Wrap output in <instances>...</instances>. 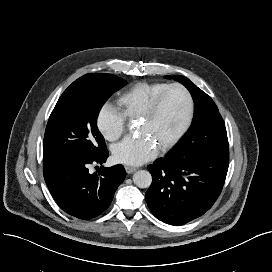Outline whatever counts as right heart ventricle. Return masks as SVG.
I'll return each mask as SVG.
<instances>
[{"mask_svg": "<svg viewBox=\"0 0 272 272\" xmlns=\"http://www.w3.org/2000/svg\"><path fill=\"white\" fill-rule=\"evenodd\" d=\"M169 84L163 82H138L120 94L117 103L129 119H138L153 98Z\"/></svg>", "mask_w": 272, "mask_h": 272, "instance_id": "obj_1", "label": "right heart ventricle"}]
</instances>
